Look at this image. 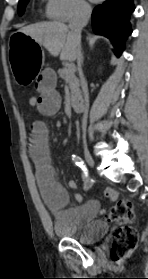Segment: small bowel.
<instances>
[{
    "label": "small bowel",
    "mask_w": 148,
    "mask_h": 279,
    "mask_svg": "<svg viewBox=\"0 0 148 279\" xmlns=\"http://www.w3.org/2000/svg\"><path fill=\"white\" fill-rule=\"evenodd\" d=\"M56 83V73L50 68L44 69L37 77L35 86L39 96L36 109L44 116L54 115L60 109L61 97ZM29 154L34 164L42 197L51 210L58 212L64 220L74 225L92 219L99 212V205L94 200L64 210L68 203V194L66 189L54 178L48 147V129L42 121H36L31 126ZM68 185L71 188L76 187V183L72 180ZM89 185V179H85V186ZM105 194L112 202L118 199V194L113 189H107ZM75 198L81 202L79 195H76Z\"/></svg>",
    "instance_id": "1"
}]
</instances>
